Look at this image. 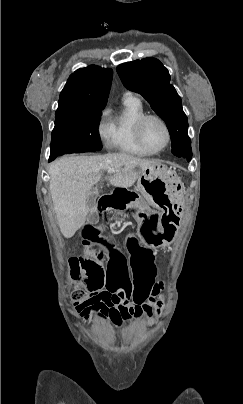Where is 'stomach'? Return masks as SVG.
<instances>
[{
    "instance_id": "stomach-1",
    "label": "stomach",
    "mask_w": 243,
    "mask_h": 404,
    "mask_svg": "<svg viewBox=\"0 0 243 404\" xmlns=\"http://www.w3.org/2000/svg\"><path fill=\"white\" fill-rule=\"evenodd\" d=\"M137 188L142 196H137L130 206L135 209L140 240L148 248L170 244L181 218L184 195L180 178L165 165L156 163L141 171Z\"/></svg>"
}]
</instances>
